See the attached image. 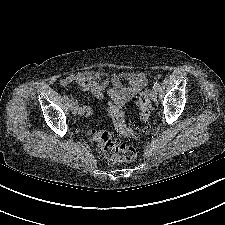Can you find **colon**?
Here are the masks:
<instances>
[{"label":"colon","mask_w":225,"mask_h":225,"mask_svg":"<svg viewBox=\"0 0 225 225\" xmlns=\"http://www.w3.org/2000/svg\"><path fill=\"white\" fill-rule=\"evenodd\" d=\"M138 107L142 121V126L138 129H134L126 124L123 108H112L110 110L109 113L115 129L120 135L126 138H138L148 134L152 120V109L148 101V91H144L139 95ZM93 139L110 163L130 162L137 156V151L133 145L119 143L107 129L95 131Z\"/></svg>","instance_id":"colon-1"}]
</instances>
